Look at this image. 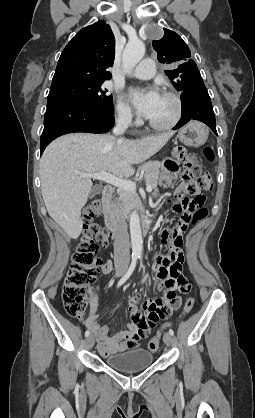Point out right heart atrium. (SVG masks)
Masks as SVG:
<instances>
[{
  "mask_svg": "<svg viewBox=\"0 0 255 418\" xmlns=\"http://www.w3.org/2000/svg\"><path fill=\"white\" fill-rule=\"evenodd\" d=\"M115 115L118 123L123 126H131L134 123L133 112L122 97H119L116 101Z\"/></svg>",
  "mask_w": 255,
  "mask_h": 418,
  "instance_id": "1",
  "label": "right heart atrium"
}]
</instances>
